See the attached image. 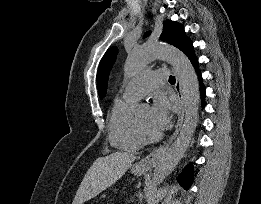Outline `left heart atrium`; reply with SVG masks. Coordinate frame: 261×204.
Listing matches in <instances>:
<instances>
[{"mask_svg": "<svg viewBox=\"0 0 261 204\" xmlns=\"http://www.w3.org/2000/svg\"><path fill=\"white\" fill-rule=\"evenodd\" d=\"M172 106L163 95H156L151 106V123L156 131H164L171 120Z\"/></svg>", "mask_w": 261, "mask_h": 204, "instance_id": "39dd6f15", "label": "left heart atrium"}]
</instances>
